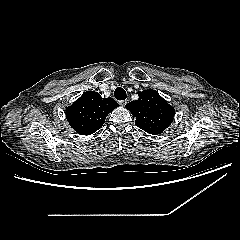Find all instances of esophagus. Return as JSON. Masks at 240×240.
<instances>
[{"label":"esophagus","instance_id":"34e87169","mask_svg":"<svg viewBox=\"0 0 240 240\" xmlns=\"http://www.w3.org/2000/svg\"><path fill=\"white\" fill-rule=\"evenodd\" d=\"M119 104L124 107L127 104V100H121L119 101Z\"/></svg>","mask_w":240,"mask_h":240}]
</instances>
